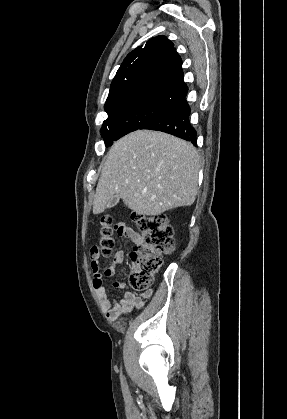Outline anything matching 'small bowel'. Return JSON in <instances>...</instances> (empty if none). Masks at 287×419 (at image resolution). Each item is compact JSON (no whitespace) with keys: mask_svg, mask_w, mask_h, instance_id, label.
Instances as JSON below:
<instances>
[{"mask_svg":"<svg viewBox=\"0 0 287 419\" xmlns=\"http://www.w3.org/2000/svg\"><path fill=\"white\" fill-rule=\"evenodd\" d=\"M119 235L129 238L133 243L137 244L140 240V235L125 223H119L116 226ZM124 260V252L118 250L113 256V263L106 269H103L99 262V250L93 248L91 251L90 266L93 272V285L98 295L99 301L103 309L111 321H116L122 315L129 314L134 308H141L148 299L151 298V292H145L142 295H137L132 291H126L123 297L119 300L111 301L108 298L105 285V278L113 277L116 274L118 266ZM112 286L116 289H126V284L123 282H114Z\"/></svg>","mask_w":287,"mask_h":419,"instance_id":"obj_1","label":"small bowel"}]
</instances>
